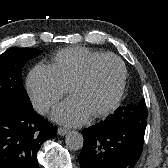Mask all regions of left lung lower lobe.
<instances>
[{
  "label": "left lung lower lobe",
  "instance_id": "0a47b994",
  "mask_svg": "<svg viewBox=\"0 0 168 168\" xmlns=\"http://www.w3.org/2000/svg\"><path fill=\"white\" fill-rule=\"evenodd\" d=\"M146 124L142 102L119 107L104 121L84 129L81 168H133L143 150Z\"/></svg>",
  "mask_w": 168,
  "mask_h": 168
}]
</instances>
